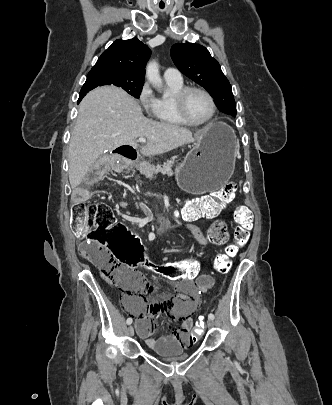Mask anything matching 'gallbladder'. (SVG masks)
Returning a JSON list of instances; mask_svg holds the SVG:
<instances>
[{
	"instance_id": "obj_1",
	"label": "gallbladder",
	"mask_w": 332,
	"mask_h": 405,
	"mask_svg": "<svg viewBox=\"0 0 332 405\" xmlns=\"http://www.w3.org/2000/svg\"><path fill=\"white\" fill-rule=\"evenodd\" d=\"M108 157V155H102L101 157L98 158V162L105 160Z\"/></svg>"
}]
</instances>
